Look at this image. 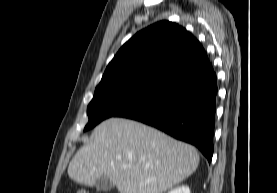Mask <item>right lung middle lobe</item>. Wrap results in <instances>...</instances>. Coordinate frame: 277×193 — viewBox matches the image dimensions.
<instances>
[{
  "label": "right lung middle lobe",
  "mask_w": 277,
  "mask_h": 193,
  "mask_svg": "<svg viewBox=\"0 0 277 193\" xmlns=\"http://www.w3.org/2000/svg\"><path fill=\"white\" fill-rule=\"evenodd\" d=\"M154 91L153 89L129 86L95 90L94 97L87 107L89 122L84 131L93 128L109 117L117 116Z\"/></svg>",
  "instance_id": "1"
}]
</instances>
